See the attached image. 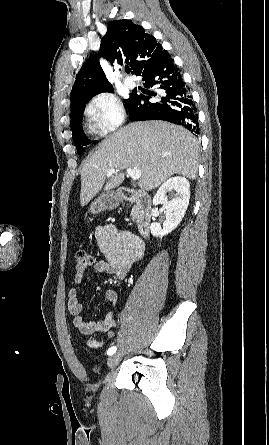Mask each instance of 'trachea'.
Segmentation results:
<instances>
[{"label":"trachea","mask_w":269,"mask_h":445,"mask_svg":"<svg viewBox=\"0 0 269 445\" xmlns=\"http://www.w3.org/2000/svg\"><path fill=\"white\" fill-rule=\"evenodd\" d=\"M126 72L129 73V72H130V69H126Z\"/></svg>","instance_id":"obj_1"}]
</instances>
